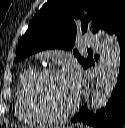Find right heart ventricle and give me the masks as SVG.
Returning a JSON list of instances; mask_svg holds the SVG:
<instances>
[{
  "label": "right heart ventricle",
  "mask_w": 125,
  "mask_h": 128,
  "mask_svg": "<svg viewBox=\"0 0 125 128\" xmlns=\"http://www.w3.org/2000/svg\"><path fill=\"white\" fill-rule=\"evenodd\" d=\"M36 71L37 69L35 67H28L25 69L20 75L16 85V115L22 122L31 125L43 124L46 122L33 109L27 95V85Z\"/></svg>",
  "instance_id": "right-heart-ventricle-1"
}]
</instances>
